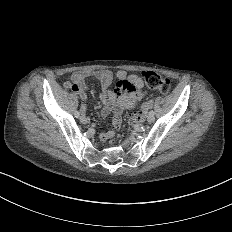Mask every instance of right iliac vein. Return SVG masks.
Segmentation results:
<instances>
[{"instance_id": "obj_1", "label": "right iliac vein", "mask_w": 232, "mask_h": 232, "mask_svg": "<svg viewBox=\"0 0 232 232\" xmlns=\"http://www.w3.org/2000/svg\"><path fill=\"white\" fill-rule=\"evenodd\" d=\"M81 123L82 124H87L88 123V118L87 117H82L81 118Z\"/></svg>"}]
</instances>
